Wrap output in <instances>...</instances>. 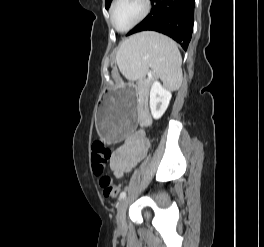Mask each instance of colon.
Wrapping results in <instances>:
<instances>
[{"label": "colon", "mask_w": 264, "mask_h": 247, "mask_svg": "<svg viewBox=\"0 0 264 247\" xmlns=\"http://www.w3.org/2000/svg\"><path fill=\"white\" fill-rule=\"evenodd\" d=\"M111 158V150L100 141L92 146V169L94 174L100 176L99 186L105 197H116L119 193V187L113 182L112 178L102 175L109 160Z\"/></svg>", "instance_id": "5ec220e1"}]
</instances>
